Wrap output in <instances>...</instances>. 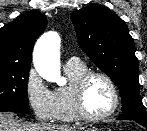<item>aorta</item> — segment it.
Here are the masks:
<instances>
[{
  "label": "aorta",
  "instance_id": "1",
  "mask_svg": "<svg viewBox=\"0 0 147 131\" xmlns=\"http://www.w3.org/2000/svg\"><path fill=\"white\" fill-rule=\"evenodd\" d=\"M33 62L37 73L45 80L63 86L66 79L60 72V38L55 32L43 34L34 47Z\"/></svg>",
  "mask_w": 147,
  "mask_h": 131
}]
</instances>
